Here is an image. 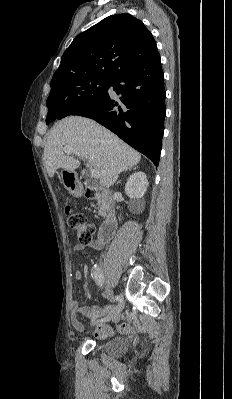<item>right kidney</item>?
I'll return each instance as SVG.
<instances>
[{
    "instance_id": "right-kidney-1",
    "label": "right kidney",
    "mask_w": 232,
    "mask_h": 399,
    "mask_svg": "<svg viewBox=\"0 0 232 399\" xmlns=\"http://www.w3.org/2000/svg\"><path fill=\"white\" fill-rule=\"evenodd\" d=\"M148 180L144 172H135L127 180L125 192L130 200H133L138 209H145V201L143 196L148 188Z\"/></svg>"
}]
</instances>
